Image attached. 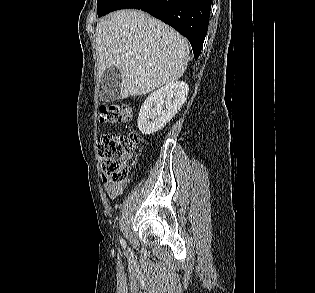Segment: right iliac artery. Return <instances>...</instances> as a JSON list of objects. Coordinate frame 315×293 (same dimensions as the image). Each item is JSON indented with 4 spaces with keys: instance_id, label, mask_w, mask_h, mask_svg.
I'll list each match as a JSON object with an SVG mask.
<instances>
[{
    "instance_id": "82829eb1",
    "label": "right iliac artery",
    "mask_w": 315,
    "mask_h": 293,
    "mask_svg": "<svg viewBox=\"0 0 315 293\" xmlns=\"http://www.w3.org/2000/svg\"><path fill=\"white\" fill-rule=\"evenodd\" d=\"M120 243L124 246L125 245V242L123 239H120Z\"/></svg>"
}]
</instances>
